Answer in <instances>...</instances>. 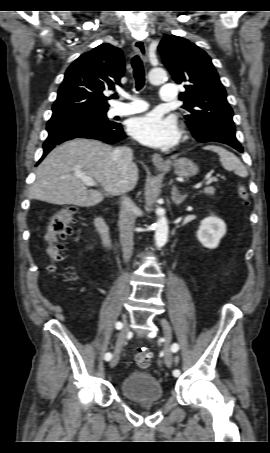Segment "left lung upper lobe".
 I'll use <instances>...</instances> for the list:
<instances>
[{
	"label": "left lung upper lobe",
	"instance_id": "obj_1",
	"mask_svg": "<svg viewBox=\"0 0 270 453\" xmlns=\"http://www.w3.org/2000/svg\"><path fill=\"white\" fill-rule=\"evenodd\" d=\"M164 65L178 84L185 118L193 136L201 142L237 141L233 111L226 91L205 51L179 36H165L158 46Z\"/></svg>",
	"mask_w": 270,
	"mask_h": 453
}]
</instances>
